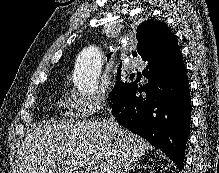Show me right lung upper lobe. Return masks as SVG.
I'll return each mask as SVG.
<instances>
[{
  "mask_svg": "<svg viewBox=\"0 0 219 173\" xmlns=\"http://www.w3.org/2000/svg\"><path fill=\"white\" fill-rule=\"evenodd\" d=\"M137 52L146 61L151 57L158 58L161 63L173 64L182 58L178 40L168 26L160 21L148 20L137 28ZM137 55L136 52H133ZM108 56V59L110 58Z\"/></svg>",
  "mask_w": 219,
  "mask_h": 173,
  "instance_id": "cb5924a9",
  "label": "right lung upper lobe"
}]
</instances>
